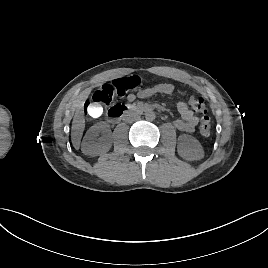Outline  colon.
Returning <instances> with one entry per match:
<instances>
[{
    "label": "colon",
    "instance_id": "obj_1",
    "mask_svg": "<svg viewBox=\"0 0 268 268\" xmlns=\"http://www.w3.org/2000/svg\"><path fill=\"white\" fill-rule=\"evenodd\" d=\"M140 82L141 80L138 76H130L115 79L102 85L94 93L92 102H86L85 110L87 111L90 104L96 101L102 103L103 106L109 105L116 96H124L128 91L139 86ZM189 105L194 112L201 114L199 132L203 137H208L211 134L212 126L204 98L193 96L189 100Z\"/></svg>",
    "mask_w": 268,
    "mask_h": 268
}]
</instances>
